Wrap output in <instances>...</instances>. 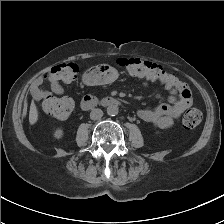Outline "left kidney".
<instances>
[{
    "label": "left kidney",
    "instance_id": "5707ae66",
    "mask_svg": "<svg viewBox=\"0 0 224 224\" xmlns=\"http://www.w3.org/2000/svg\"><path fill=\"white\" fill-rule=\"evenodd\" d=\"M161 132L159 130H155V134L159 135Z\"/></svg>",
    "mask_w": 224,
    "mask_h": 224
}]
</instances>
